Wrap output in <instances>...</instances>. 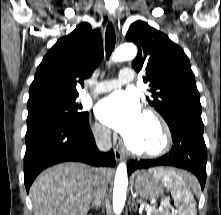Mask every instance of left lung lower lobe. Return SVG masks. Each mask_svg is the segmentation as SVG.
<instances>
[{
    "label": "left lung lower lobe",
    "instance_id": "0a47b994",
    "mask_svg": "<svg viewBox=\"0 0 221 215\" xmlns=\"http://www.w3.org/2000/svg\"><path fill=\"white\" fill-rule=\"evenodd\" d=\"M167 124L174 143L171 152L154 160L130 161L128 174L136 169L174 166L195 174L203 189L206 181L207 149L203 138L201 114L176 109Z\"/></svg>",
    "mask_w": 221,
    "mask_h": 215
}]
</instances>
